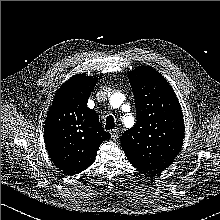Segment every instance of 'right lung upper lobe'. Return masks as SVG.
Wrapping results in <instances>:
<instances>
[{"label": "right lung upper lobe", "instance_id": "1", "mask_svg": "<svg viewBox=\"0 0 220 220\" xmlns=\"http://www.w3.org/2000/svg\"><path fill=\"white\" fill-rule=\"evenodd\" d=\"M98 78L77 74L66 81L53 99L44 126V140L55 165L68 175L88 168L102 141L111 137L87 101Z\"/></svg>", "mask_w": 220, "mask_h": 220}]
</instances>
